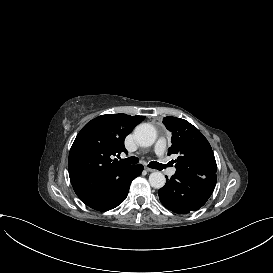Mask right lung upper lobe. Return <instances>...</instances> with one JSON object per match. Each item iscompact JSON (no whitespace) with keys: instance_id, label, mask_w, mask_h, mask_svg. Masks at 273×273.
I'll return each mask as SVG.
<instances>
[{"instance_id":"right-lung-upper-lobe-1","label":"right lung upper lobe","mask_w":273,"mask_h":273,"mask_svg":"<svg viewBox=\"0 0 273 273\" xmlns=\"http://www.w3.org/2000/svg\"><path fill=\"white\" fill-rule=\"evenodd\" d=\"M145 116L106 114L88 122L70 149L69 177L77 196L86 204L101 198L109 181L132 165L112 160L126 152L125 137Z\"/></svg>"}]
</instances>
